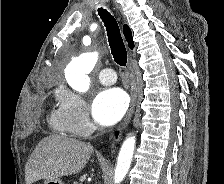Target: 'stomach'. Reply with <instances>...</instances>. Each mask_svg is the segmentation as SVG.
Here are the masks:
<instances>
[{"label":"stomach","mask_w":224,"mask_h":184,"mask_svg":"<svg viewBox=\"0 0 224 184\" xmlns=\"http://www.w3.org/2000/svg\"><path fill=\"white\" fill-rule=\"evenodd\" d=\"M43 184H64L61 179H53V180H44Z\"/></svg>","instance_id":"0dacf381"}]
</instances>
